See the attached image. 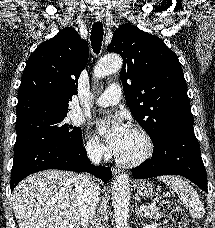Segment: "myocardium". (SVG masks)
I'll return each instance as SVG.
<instances>
[{"label": "myocardium", "mask_w": 215, "mask_h": 228, "mask_svg": "<svg viewBox=\"0 0 215 228\" xmlns=\"http://www.w3.org/2000/svg\"><path fill=\"white\" fill-rule=\"evenodd\" d=\"M132 132L138 134L143 142V148L142 150L135 155L134 157L131 158H116V163L122 167H134L137 165L142 164L145 162L153 153V141L148 133V131L141 127V126H135L132 129Z\"/></svg>", "instance_id": "myocardium-1"}]
</instances>
